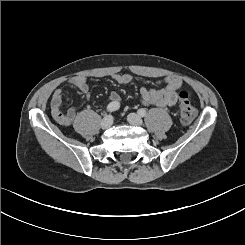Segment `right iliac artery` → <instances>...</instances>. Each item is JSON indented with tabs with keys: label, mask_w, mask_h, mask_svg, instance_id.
<instances>
[{
	"label": "right iliac artery",
	"mask_w": 245,
	"mask_h": 245,
	"mask_svg": "<svg viewBox=\"0 0 245 245\" xmlns=\"http://www.w3.org/2000/svg\"><path fill=\"white\" fill-rule=\"evenodd\" d=\"M120 107V104L118 102H111L108 106H107V111L109 113L118 110Z\"/></svg>",
	"instance_id": "obj_1"
}]
</instances>
